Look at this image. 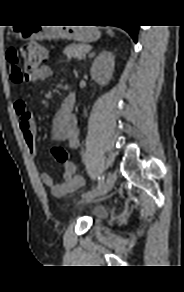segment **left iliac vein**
Returning <instances> with one entry per match:
<instances>
[{
  "label": "left iliac vein",
  "instance_id": "4c4485c4",
  "mask_svg": "<svg viewBox=\"0 0 184 292\" xmlns=\"http://www.w3.org/2000/svg\"><path fill=\"white\" fill-rule=\"evenodd\" d=\"M116 179L117 173L116 172L111 173L98 191L85 198V202H92L107 194L114 187Z\"/></svg>",
  "mask_w": 184,
  "mask_h": 292
}]
</instances>
